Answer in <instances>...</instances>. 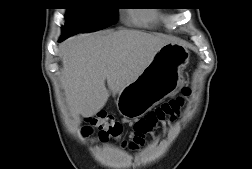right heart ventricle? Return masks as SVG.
Masks as SVG:
<instances>
[{
    "label": "right heart ventricle",
    "instance_id": "e07e8e85",
    "mask_svg": "<svg viewBox=\"0 0 252 169\" xmlns=\"http://www.w3.org/2000/svg\"><path fill=\"white\" fill-rule=\"evenodd\" d=\"M131 17L135 21H137L139 23H143V24L150 23L156 19V16L153 13L140 12V11L131 13Z\"/></svg>",
    "mask_w": 252,
    "mask_h": 169
}]
</instances>
